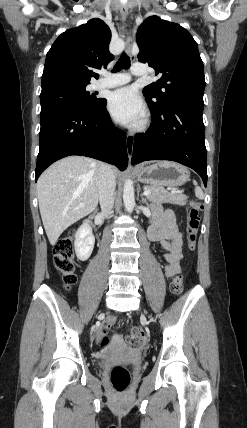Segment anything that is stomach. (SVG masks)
Wrapping results in <instances>:
<instances>
[{"instance_id":"1","label":"stomach","mask_w":247,"mask_h":428,"mask_svg":"<svg viewBox=\"0 0 247 428\" xmlns=\"http://www.w3.org/2000/svg\"><path fill=\"white\" fill-rule=\"evenodd\" d=\"M135 172L140 182L153 186L179 187L185 184L190 177L187 167L171 161H157L151 165H141Z\"/></svg>"}]
</instances>
